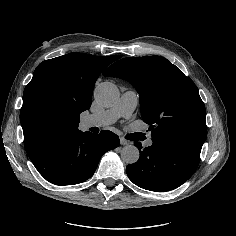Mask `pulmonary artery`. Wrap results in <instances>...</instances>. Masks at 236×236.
<instances>
[{
	"mask_svg": "<svg viewBox=\"0 0 236 236\" xmlns=\"http://www.w3.org/2000/svg\"><path fill=\"white\" fill-rule=\"evenodd\" d=\"M139 101V94L135 90H128L121 94L117 102L108 110L102 112V116L110 123L115 122L120 117H130L136 109ZM152 140L148 139L145 143L147 147L152 145Z\"/></svg>",
	"mask_w": 236,
	"mask_h": 236,
	"instance_id": "pulmonary-artery-1",
	"label": "pulmonary artery"
}]
</instances>
